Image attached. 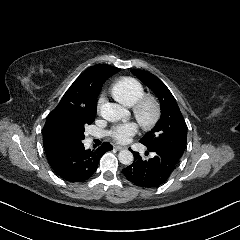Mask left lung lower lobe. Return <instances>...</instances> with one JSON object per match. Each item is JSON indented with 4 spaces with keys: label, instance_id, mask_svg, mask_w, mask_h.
Listing matches in <instances>:
<instances>
[{
    "label": "left lung lower lobe",
    "instance_id": "obj_1",
    "mask_svg": "<svg viewBox=\"0 0 240 240\" xmlns=\"http://www.w3.org/2000/svg\"><path fill=\"white\" fill-rule=\"evenodd\" d=\"M148 151L155 155L148 160L133 152L134 162L123 169V174L134 185L154 188L167 181L180 158L161 148H148Z\"/></svg>",
    "mask_w": 240,
    "mask_h": 240
}]
</instances>
